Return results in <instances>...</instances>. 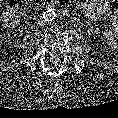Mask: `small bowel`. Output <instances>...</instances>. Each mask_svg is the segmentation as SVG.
Returning <instances> with one entry per match:
<instances>
[{"label": "small bowel", "instance_id": "obj_1", "mask_svg": "<svg viewBox=\"0 0 118 118\" xmlns=\"http://www.w3.org/2000/svg\"><path fill=\"white\" fill-rule=\"evenodd\" d=\"M109 5L105 0H89L83 5L84 13L92 20H97L99 16L108 11ZM106 38L110 46L115 47L118 42V9L113 17L112 28L106 33Z\"/></svg>", "mask_w": 118, "mask_h": 118}]
</instances>
